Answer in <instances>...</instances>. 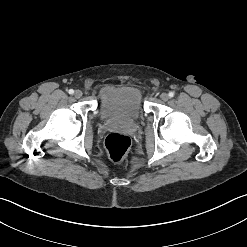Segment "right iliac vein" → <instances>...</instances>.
<instances>
[{
	"label": "right iliac vein",
	"instance_id": "63e3f726",
	"mask_svg": "<svg viewBox=\"0 0 247 247\" xmlns=\"http://www.w3.org/2000/svg\"><path fill=\"white\" fill-rule=\"evenodd\" d=\"M82 95H83V93H82L81 90H76V91L74 92V96H75L76 98H81Z\"/></svg>",
	"mask_w": 247,
	"mask_h": 247
}]
</instances>
